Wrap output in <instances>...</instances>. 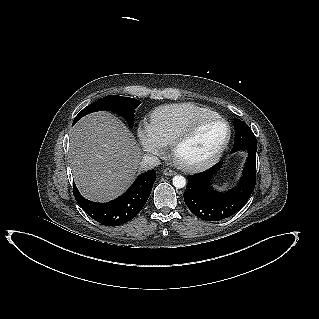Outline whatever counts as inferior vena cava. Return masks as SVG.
I'll list each match as a JSON object with an SVG mask.
<instances>
[{
	"label": "inferior vena cava",
	"instance_id": "obj_1",
	"mask_svg": "<svg viewBox=\"0 0 319 319\" xmlns=\"http://www.w3.org/2000/svg\"><path fill=\"white\" fill-rule=\"evenodd\" d=\"M159 164L160 160L158 157L151 154H144L142 157L141 168L144 170L151 169L158 166Z\"/></svg>",
	"mask_w": 319,
	"mask_h": 319
}]
</instances>
